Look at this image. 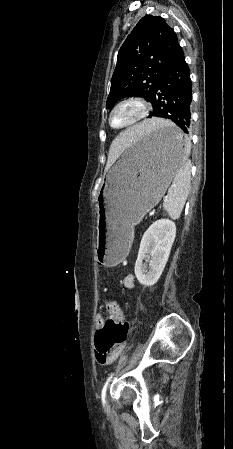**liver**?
<instances>
[{
	"label": "liver",
	"mask_w": 233,
	"mask_h": 449,
	"mask_svg": "<svg viewBox=\"0 0 233 449\" xmlns=\"http://www.w3.org/2000/svg\"><path fill=\"white\" fill-rule=\"evenodd\" d=\"M168 121L158 118L144 120L121 133L114 134V140L109 149L108 163L111 165L116 159L135 142H141L142 137L153 129L168 124Z\"/></svg>",
	"instance_id": "obj_1"
}]
</instances>
